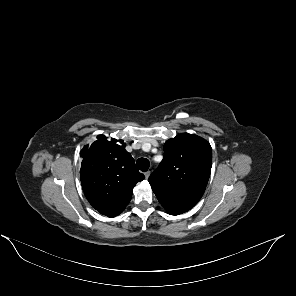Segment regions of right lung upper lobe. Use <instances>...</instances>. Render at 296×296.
<instances>
[{
	"label": "right lung upper lobe",
	"mask_w": 296,
	"mask_h": 296,
	"mask_svg": "<svg viewBox=\"0 0 296 296\" xmlns=\"http://www.w3.org/2000/svg\"><path fill=\"white\" fill-rule=\"evenodd\" d=\"M80 180L84 194L100 213L124 209L136 183L144 179L125 143L99 135L81 151Z\"/></svg>",
	"instance_id": "cb5924a9"
}]
</instances>
